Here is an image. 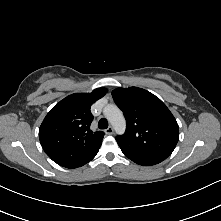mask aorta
I'll return each mask as SVG.
<instances>
[{"label":"aorta","instance_id":"762f6f07","mask_svg":"<svg viewBox=\"0 0 221 221\" xmlns=\"http://www.w3.org/2000/svg\"><path fill=\"white\" fill-rule=\"evenodd\" d=\"M104 115L118 134L124 133L126 121L122 111L116 105H107L104 108Z\"/></svg>","mask_w":221,"mask_h":221}]
</instances>
